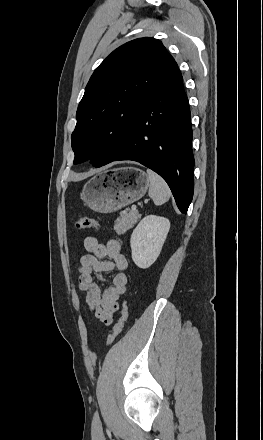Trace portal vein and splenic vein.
<instances>
[{"label": "portal vein and splenic vein", "instance_id": "1", "mask_svg": "<svg viewBox=\"0 0 263 440\" xmlns=\"http://www.w3.org/2000/svg\"><path fill=\"white\" fill-rule=\"evenodd\" d=\"M136 205H132V207H131V209L133 210V211H136Z\"/></svg>", "mask_w": 263, "mask_h": 440}]
</instances>
